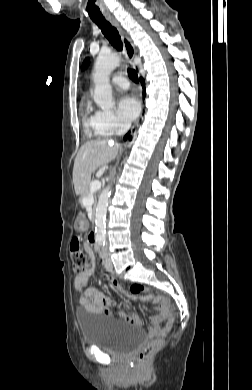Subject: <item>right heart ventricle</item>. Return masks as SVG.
<instances>
[{"label":"right heart ventricle","instance_id":"obj_1","mask_svg":"<svg viewBox=\"0 0 252 390\" xmlns=\"http://www.w3.org/2000/svg\"><path fill=\"white\" fill-rule=\"evenodd\" d=\"M91 112V107L90 105H87L85 109L86 117L84 121V127H85V132L88 136H100L96 133L95 131V117L94 115H90Z\"/></svg>","mask_w":252,"mask_h":390}]
</instances>
